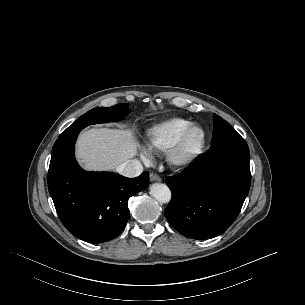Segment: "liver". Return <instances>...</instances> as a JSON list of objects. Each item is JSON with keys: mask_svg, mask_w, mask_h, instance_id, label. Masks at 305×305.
Listing matches in <instances>:
<instances>
[{"mask_svg": "<svg viewBox=\"0 0 305 305\" xmlns=\"http://www.w3.org/2000/svg\"><path fill=\"white\" fill-rule=\"evenodd\" d=\"M133 132L92 128L80 134L76 156L86 170H111L137 154Z\"/></svg>", "mask_w": 305, "mask_h": 305, "instance_id": "obj_1", "label": "liver"}]
</instances>
